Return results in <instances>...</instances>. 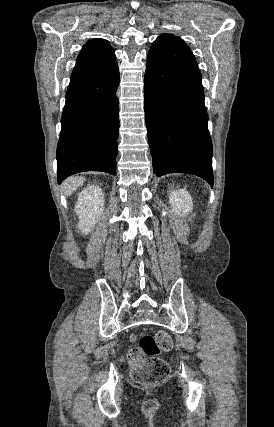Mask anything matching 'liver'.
<instances>
[{
    "label": "liver",
    "instance_id": "1",
    "mask_svg": "<svg viewBox=\"0 0 274 427\" xmlns=\"http://www.w3.org/2000/svg\"><path fill=\"white\" fill-rule=\"evenodd\" d=\"M85 178H78V176H72V178H67L63 184V190L66 196H71L73 192H76L80 186H83Z\"/></svg>",
    "mask_w": 274,
    "mask_h": 427
}]
</instances>
